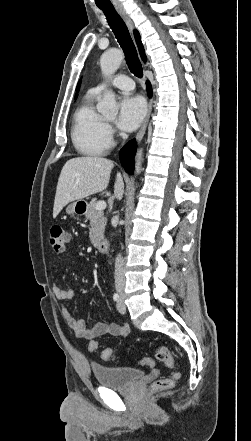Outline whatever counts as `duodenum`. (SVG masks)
<instances>
[{"instance_id":"410a0bca","label":"duodenum","mask_w":251,"mask_h":441,"mask_svg":"<svg viewBox=\"0 0 251 441\" xmlns=\"http://www.w3.org/2000/svg\"><path fill=\"white\" fill-rule=\"evenodd\" d=\"M97 248L101 253H108L109 251V242L105 239L97 242Z\"/></svg>"}]
</instances>
